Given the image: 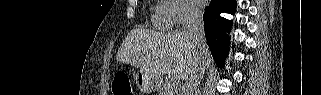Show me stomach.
Instances as JSON below:
<instances>
[{"label":"stomach","instance_id":"stomach-1","mask_svg":"<svg viewBox=\"0 0 321 95\" xmlns=\"http://www.w3.org/2000/svg\"><path fill=\"white\" fill-rule=\"evenodd\" d=\"M136 84L144 92H151L156 88L154 79L141 70L136 74Z\"/></svg>","mask_w":321,"mask_h":95}]
</instances>
